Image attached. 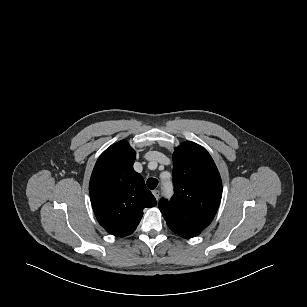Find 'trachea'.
I'll return each instance as SVG.
<instances>
[{
    "label": "trachea",
    "instance_id": "3493384b",
    "mask_svg": "<svg viewBox=\"0 0 307 307\" xmlns=\"http://www.w3.org/2000/svg\"><path fill=\"white\" fill-rule=\"evenodd\" d=\"M158 185V180L156 178H149L147 180V186L149 189L153 190L157 187Z\"/></svg>",
    "mask_w": 307,
    "mask_h": 307
}]
</instances>
